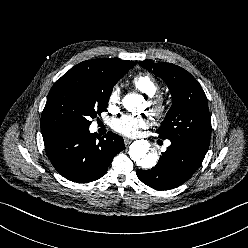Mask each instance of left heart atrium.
Instances as JSON below:
<instances>
[{
  "mask_svg": "<svg viewBox=\"0 0 248 248\" xmlns=\"http://www.w3.org/2000/svg\"><path fill=\"white\" fill-rule=\"evenodd\" d=\"M148 125L147 117L122 116L115 120L113 128L122 135L135 137L139 134L140 129L146 128Z\"/></svg>",
  "mask_w": 248,
  "mask_h": 248,
  "instance_id": "1",
  "label": "left heart atrium"
}]
</instances>
